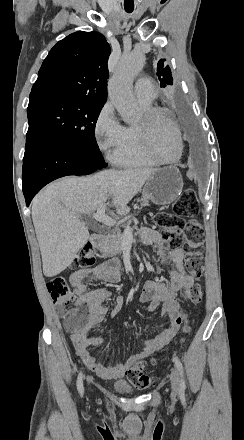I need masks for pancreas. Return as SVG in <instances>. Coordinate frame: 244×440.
Segmentation results:
<instances>
[{
	"label": "pancreas",
	"mask_w": 244,
	"mask_h": 440,
	"mask_svg": "<svg viewBox=\"0 0 244 440\" xmlns=\"http://www.w3.org/2000/svg\"><path fill=\"white\" fill-rule=\"evenodd\" d=\"M123 232L120 230H116L113 234H108L105 236L103 242H101L100 246H98V250H100L102 256H117V254H121L122 246L121 242L123 240Z\"/></svg>",
	"instance_id": "obj_1"
}]
</instances>
